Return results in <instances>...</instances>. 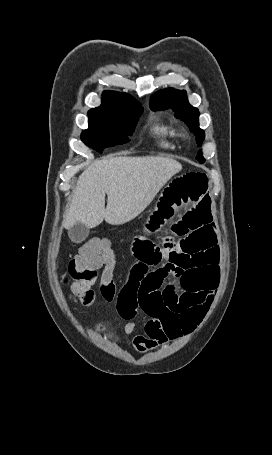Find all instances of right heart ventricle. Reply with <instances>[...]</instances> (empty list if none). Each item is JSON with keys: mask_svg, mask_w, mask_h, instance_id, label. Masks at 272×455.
<instances>
[{"mask_svg": "<svg viewBox=\"0 0 272 455\" xmlns=\"http://www.w3.org/2000/svg\"><path fill=\"white\" fill-rule=\"evenodd\" d=\"M150 133L163 149H173L178 136L177 130L161 118L153 117L150 122Z\"/></svg>", "mask_w": 272, "mask_h": 455, "instance_id": "obj_1", "label": "right heart ventricle"}]
</instances>
